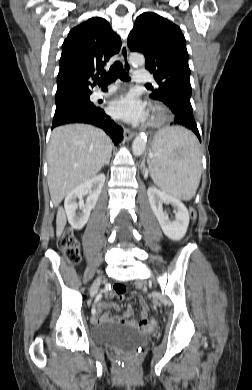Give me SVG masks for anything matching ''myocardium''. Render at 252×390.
I'll list each match as a JSON object with an SVG mask.
<instances>
[{"label":"myocardium","instance_id":"myocardium-1","mask_svg":"<svg viewBox=\"0 0 252 390\" xmlns=\"http://www.w3.org/2000/svg\"><path fill=\"white\" fill-rule=\"evenodd\" d=\"M169 118V110L160 104H156L152 107L151 117L148 122L150 127H160L162 126Z\"/></svg>","mask_w":252,"mask_h":390}]
</instances>
